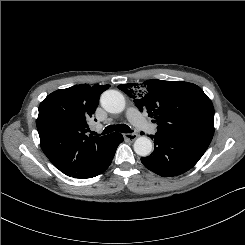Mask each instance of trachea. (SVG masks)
Instances as JSON below:
<instances>
[{
    "mask_svg": "<svg viewBox=\"0 0 245 245\" xmlns=\"http://www.w3.org/2000/svg\"><path fill=\"white\" fill-rule=\"evenodd\" d=\"M113 131H118L122 133H131L132 130L125 124H118V125H109L107 126L104 131L102 132V135L111 133ZM96 134V133H94Z\"/></svg>",
    "mask_w": 245,
    "mask_h": 245,
    "instance_id": "3493384b",
    "label": "trachea"
}]
</instances>
